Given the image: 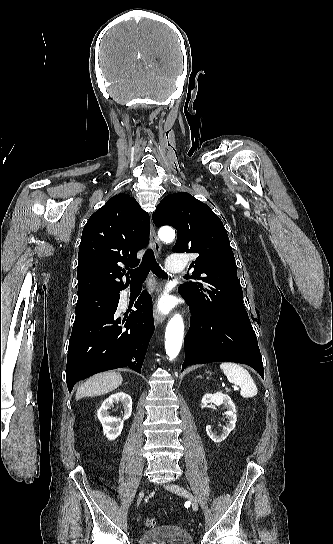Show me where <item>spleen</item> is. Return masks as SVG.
I'll use <instances>...</instances> for the list:
<instances>
[{
    "instance_id": "spleen-1",
    "label": "spleen",
    "mask_w": 333,
    "mask_h": 544,
    "mask_svg": "<svg viewBox=\"0 0 333 544\" xmlns=\"http://www.w3.org/2000/svg\"><path fill=\"white\" fill-rule=\"evenodd\" d=\"M229 382L238 385L241 388V395L244 398H251L257 394V387L251 378L249 372L242 366L232 363L223 362L220 365Z\"/></svg>"
}]
</instances>
